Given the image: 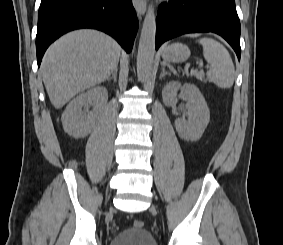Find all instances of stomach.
Masks as SVG:
<instances>
[{
	"label": "stomach",
	"instance_id": "stomach-1",
	"mask_svg": "<svg viewBox=\"0 0 283 245\" xmlns=\"http://www.w3.org/2000/svg\"><path fill=\"white\" fill-rule=\"evenodd\" d=\"M162 56L167 62L180 63L189 58L190 50L182 43H174L164 49Z\"/></svg>",
	"mask_w": 283,
	"mask_h": 245
}]
</instances>
